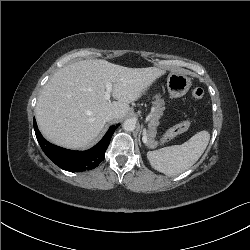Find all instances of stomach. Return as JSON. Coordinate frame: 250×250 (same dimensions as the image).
<instances>
[{
	"label": "stomach",
	"mask_w": 250,
	"mask_h": 250,
	"mask_svg": "<svg viewBox=\"0 0 250 250\" xmlns=\"http://www.w3.org/2000/svg\"><path fill=\"white\" fill-rule=\"evenodd\" d=\"M191 87V79L183 73L172 72L167 78V88L171 98L185 95Z\"/></svg>",
	"instance_id": "1"
}]
</instances>
